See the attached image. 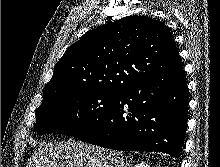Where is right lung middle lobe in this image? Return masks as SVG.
<instances>
[{
  "instance_id": "1",
  "label": "right lung middle lobe",
  "mask_w": 220,
  "mask_h": 167,
  "mask_svg": "<svg viewBox=\"0 0 220 167\" xmlns=\"http://www.w3.org/2000/svg\"><path fill=\"white\" fill-rule=\"evenodd\" d=\"M117 91L81 88L44 101L36 111L38 134L58 131L78 136L95 126L112 107Z\"/></svg>"
}]
</instances>
